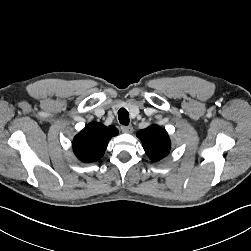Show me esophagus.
<instances>
[{
    "instance_id": "34e87169",
    "label": "esophagus",
    "mask_w": 251,
    "mask_h": 251,
    "mask_svg": "<svg viewBox=\"0 0 251 251\" xmlns=\"http://www.w3.org/2000/svg\"><path fill=\"white\" fill-rule=\"evenodd\" d=\"M121 130L124 133H132L133 127L131 125H129V126H121Z\"/></svg>"
}]
</instances>
